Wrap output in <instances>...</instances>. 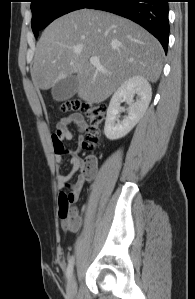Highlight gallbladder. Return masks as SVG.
Wrapping results in <instances>:
<instances>
[{
  "label": "gallbladder",
  "instance_id": "bac80fb5",
  "mask_svg": "<svg viewBox=\"0 0 195 299\" xmlns=\"http://www.w3.org/2000/svg\"><path fill=\"white\" fill-rule=\"evenodd\" d=\"M78 90V79L76 75H70L58 81L51 90L55 101H65L73 97Z\"/></svg>",
  "mask_w": 195,
  "mask_h": 299
}]
</instances>
